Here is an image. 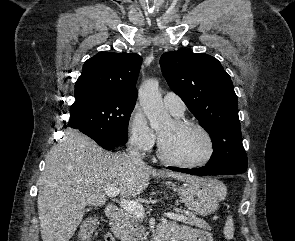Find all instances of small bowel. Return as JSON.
I'll return each instance as SVG.
<instances>
[{
	"label": "small bowel",
	"instance_id": "1",
	"mask_svg": "<svg viewBox=\"0 0 295 241\" xmlns=\"http://www.w3.org/2000/svg\"><path fill=\"white\" fill-rule=\"evenodd\" d=\"M159 233L168 235L170 241H212L210 235L205 231L171 222L161 225ZM105 241L115 240L112 235L108 234Z\"/></svg>",
	"mask_w": 295,
	"mask_h": 241
}]
</instances>
